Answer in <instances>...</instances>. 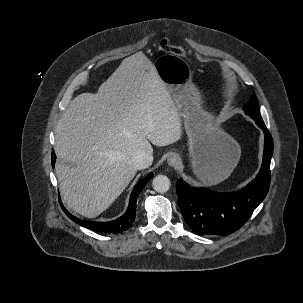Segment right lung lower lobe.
Here are the masks:
<instances>
[{
    "mask_svg": "<svg viewBox=\"0 0 303 303\" xmlns=\"http://www.w3.org/2000/svg\"><path fill=\"white\" fill-rule=\"evenodd\" d=\"M55 159L56 155L54 151L52 152V167H54L55 164ZM153 177V174L150 173L148 176H146L144 179L139 181L135 188L133 189V192L131 194L129 206L127 209V212L121 216L120 218L114 220V221H109V222H93V221H83L75 216L71 215L66 211L62 203H60L63 211L65 214L74 222L77 224L84 226L86 228H89L91 230L101 232V233H120L123 232L127 229H129L132 226L133 221L135 220L136 217V202H137V197L144 188V186L147 184V182Z\"/></svg>",
    "mask_w": 303,
    "mask_h": 303,
    "instance_id": "1",
    "label": "right lung lower lobe"
}]
</instances>
